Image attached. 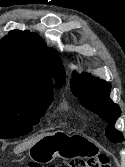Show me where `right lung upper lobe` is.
Masks as SVG:
<instances>
[{
	"mask_svg": "<svg viewBox=\"0 0 125 167\" xmlns=\"http://www.w3.org/2000/svg\"><path fill=\"white\" fill-rule=\"evenodd\" d=\"M36 33L14 30L0 41V93L29 97L65 82V71L58 53L44 50Z\"/></svg>",
	"mask_w": 125,
	"mask_h": 167,
	"instance_id": "obj_1",
	"label": "right lung upper lobe"
}]
</instances>
